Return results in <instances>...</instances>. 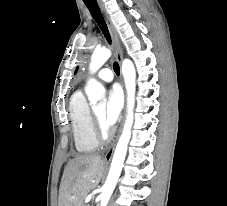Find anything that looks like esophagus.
Returning <instances> with one entry per match:
<instances>
[{"label": "esophagus", "instance_id": "1", "mask_svg": "<svg viewBox=\"0 0 227 206\" xmlns=\"http://www.w3.org/2000/svg\"><path fill=\"white\" fill-rule=\"evenodd\" d=\"M98 4H99V7H100L102 13L104 14V17H105V20H106L108 29H109L110 34H111V37L113 39L114 47H115V50H116L117 60L121 64L122 59H123V51H122V47H121V43H120V40H119L117 31H116V29H115V27H114V25H113V23H112L109 15L107 14V12H106V10H105L104 5L102 4V2L99 1ZM124 116H125V108H124V111H123L122 123H121V127L119 129L118 135H117L116 139L114 140V142L112 143V145L110 146V148L107 151V153L105 154V156H104V160L105 161H110L111 158H112V156H113L114 148H115V145H116V141H117L118 136H119V134L121 132V129H122V125H123V121H124Z\"/></svg>", "mask_w": 227, "mask_h": 206}]
</instances>
